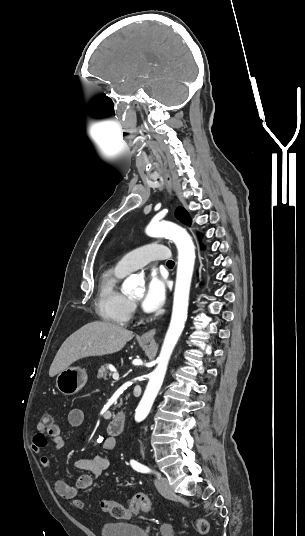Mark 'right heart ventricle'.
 Returning <instances> with one entry per match:
<instances>
[{
    "label": "right heart ventricle",
    "mask_w": 305,
    "mask_h": 536,
    "mask_svg": "<svg viewBox=\"0 0 305 536\" xmlns=\"http://www.w3.org/2000/svg\"><path fill=\"white\" fill-rule=\"evenodd\" d=\"M126 274L116 267L105 271L100 279L96 299L100 317L110 323L126 327L132 317L130 300L118 289V282Z\"/></svg>",
    "instance_id": "e07e8e85"
}]
</instances>
